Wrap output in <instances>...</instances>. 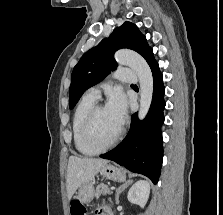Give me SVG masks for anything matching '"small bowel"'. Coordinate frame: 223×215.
Segmentation results:
<instances>
[{
	"instance_id": "small-bowel-1",
	"label": "small bowel",
	"mask_w": 223,
	"mask_h": 215,
	"mask_svg": "<svg viewBox=\"0 0 223 215\" xmlns=\"http://www.w3.org/2000/svg\"><path fill=\"white\" fill-rule=\"evenodd\" d=\"M97 212L100 215H112L110 209L106 206L99 208Z\"/></svg>"
}]
</instances>
